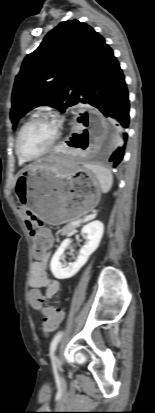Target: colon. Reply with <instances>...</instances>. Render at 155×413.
Returning <instances> with one entry per match:
<instances>
[{
	"instance_id": "5ec220e1",
	"label": "colon",
	"mask_w": 155,
	"mask_h": 413,
	"mask_svg": "<svg viewBox=\"0 0 155 413\" xmlns=\"http://www.w3.org/2000/svg\"><path fill=\"white\" fill-rule=\"evenodd\" d=\"M35 238V245L33 254L35 258L41 260L44 257L45 251L47 249V238L40 234V231H31ZM30 303L34 307H39L43 314V324L42 331L44 334H49L54 332L63 319V312L60 308L48 307L43 308V298L36 294H30Z\"/></svg>"
}]
</instances>
